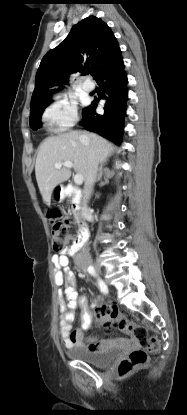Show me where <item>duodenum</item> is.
<instances>
[{
  "label": "duodenum",
  "instance_id": "duodenum-1",
  "mask_svg": "<svg viewBox=\"0 0 187 415\" xmlns=\"http://www.w3.org/2000/svg\"><path fill=\"white\" fill-rule=\"evenodd\" d=\"M62 194L71 200L72 210L77 213L81 197L80 190L73 185H68L62 190ZM88 234L87 226L84 223H80V237L72 251H77L80 248V245L87 240Z\"/></svg>",
  "mask_w": 187,
  "mask_h": 415
}]
</instances>
